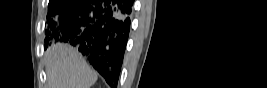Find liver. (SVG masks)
Listing matches in <instances>:
<instances>
[{"instance_id": "liver-1", "label": "liver", "mask_w": 267, "mask_h": 88, "mask_svg": "<svg viewBox=\"0 0 267 88\" xmlns=\"http://www.w3.org/2000/svg\"><path fill=\"white\" fill-rule=\"evenodd\" d=\"M48 88H90L97 74L83 59L77 49L57 43L44 54Z\"/></svg>"}]
</instances>
